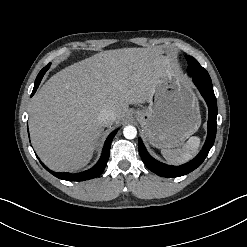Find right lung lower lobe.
<instances>
[{"instance_id": "right-lung-lower-lobe-1", "label": "right lung lower lobe", "mask_w": 247, "mask_h": 247, "mask_svg": "<svg viewBox=\"0 0 247 247\" xmlns=\"http://www.w3.org/2000/svg\"><path fill=\"white\" fill-rule=\"evenodd\" d=\"M50 64H48L46 67H44L38 74L36 80H35V84H34V89L32 91L31 96L36 92L41 79L43 77V75L46 73V71L49 69ZM117 133V130L113 131L108 138L105 141L104 147H103V151H102V155L100 160L97 162V164L92 167L91 169L81 172V173H77V174H72V173H68V172H63V173H57V172H53L51 170H49L43 163L42 166L49 171L52 175H54L55 177L62 179V180H66V181H85V180H89L92 178H95L97 176H99L105 169L108 159H109V155H110V147H111V142L115 136V134Z\"/></svg>"}]
</instances>
